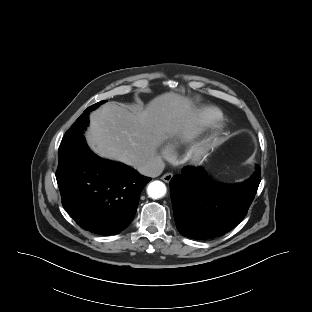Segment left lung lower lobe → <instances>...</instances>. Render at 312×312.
Wrapping results in <instances>:
<instances>
[{
    "label": "left lung lower lobe",
    "instance_id": "0a47b994",
    "mask_svg": "<svg viewBox=\"0 0 312 312\" xmlns=\"http://www.w3.org/2000/svg\"><path fill=\"white\" fill-rule=\"evenodd\" d=\"M259 165L245 181L216 185L202 167H189L170 181L174 219L188 238L209 239L233 229L247 214L260 183Z\"/></svg>",
    "mask_w": 312,
    "mask_h": 312
}]
</instances>
